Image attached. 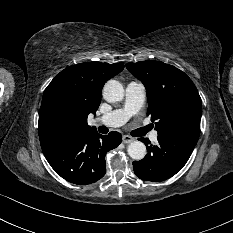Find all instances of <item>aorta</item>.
I'll use <instances>...</instances> for the list:
<instances>
[{
    "instance_id": "762f6f07",
    "label": "aorta",
    "mask_w": 233,
    "mask_h": 233,
    "mask_svg": "<svg viewBox=\"0 0 233 233\" xmlns=\"http://www.w3.org/2000/svg\"><path fill=\"white\" fill-rule=\"evenodd\" d=\"M103 97L107 102L121 101L124 97V88L119 81L109 80L103 87ZM128 155L136 160H142L146 156V146L141 141H134L129 144Z\"/></svg>"
}]
</instances>
